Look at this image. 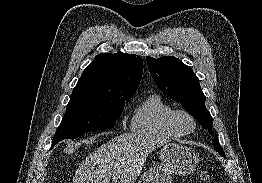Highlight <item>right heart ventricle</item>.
I'll return each mask as SVG.
<instances>
[{
  "instance_id": "right-heart-ventricle-1",
  "label": "right heart ventricle",
  "mask_w": 262,
  "mask_h": 183,
  "mask_svg": "<svg viewBox=\"0 0 262 183\" xmlns=\"http://www.w3.org/2000/svg\"><path fill=\"white\" fill-rule=\"evenodd\" d=\"M175 109L159 95H150L135 109L131 129L140 134L178 139L183 134L171 123Z\"/></svg>"
}]
</instances>
